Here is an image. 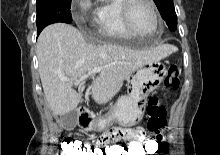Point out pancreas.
I'll return each mask as SVG.
<instances>
[{
	"label": "pancreas",
	"mask_w": 220,
	"mask_h": 155,
	"mask_svg": "<svg viewBox=\"0 0 220 155\" xmlns=\"http://www.w3.org/2000/svg\"><path fill=\"white\" fill-rule=\"evenodd\" d=\"M109 108H110V110H113V109H115V105L110 104V105H109Z\"/></svg>",
	"instance_id": "1"
}]
</instances>
